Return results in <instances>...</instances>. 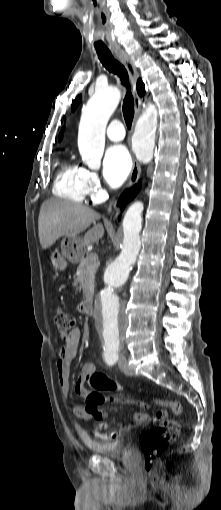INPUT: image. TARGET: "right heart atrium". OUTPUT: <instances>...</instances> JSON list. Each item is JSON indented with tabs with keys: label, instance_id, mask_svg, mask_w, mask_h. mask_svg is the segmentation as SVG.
I'll list each match as a JSON object with an SVG mask.
<instances>
[{
	"label": "right heart atrium",
	"instance_id": "obj_1",
	"mask_svg": "<svg viewBox=\"0 0 221 510\" xmlns=\"http://www.w3.org/2000/svg\"><path fill=\"white\" fill-rule=\"evenodd\" d=\"M83 185L86 195L90 196L92 200L101 197L103 192L101 180L95 171L83 169Z\"/></svg>",
	"mask_w": 221,
	"mask_h": 510
}]
</instances>
